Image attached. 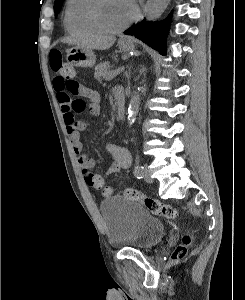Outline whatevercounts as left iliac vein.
Segmentation results:
<instances>
[{
    "mask_svg": "<svg viewBox=\"0 0 245 300\" xmlns=\"http://www.w3.org/2000/svg\"><path fill=\"white\" fill-rule=\"evenodd\" d=\"M143 178L147 183H152L153 182V179L150 175V171H149V168L147 167V165H145L144 169H143Z\"/></svg>",
    "mask_w": 245,
    "mask_h": 300,
    "instance_id": "1",
    "label": "left iliac vein"
}]
</instances>
